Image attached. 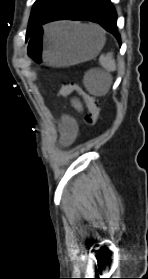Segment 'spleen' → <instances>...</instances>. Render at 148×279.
<instances>
[{
    "instance_id": "spleen-1",
    "label": "spleen",
    "mask_w": 148,
    "mask_h": 279,
    "mask_svg": "<svg viewBox=\"0 0 148 279\" xmlns=\"http://www.w3.org/2000/svg\"><path fill=\"white\" fill-rule=\"evenodd\" d=\"M82 29L88 32H94L97 29V26L94 25H81ZM59 28H50V31L55 33L59 31ZM101 66L106 70V72L100 73L101 80L97 81L95 78L86 76L85 86L91 94L97 96L105 95L111 85V75L110 72L116 70V63L113 57V53L109 52L106 56H101L99 58Z\"/></svg>"
}]
</instances>
